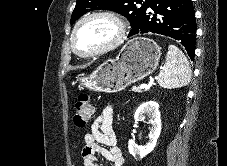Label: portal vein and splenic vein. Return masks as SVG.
Returning a JSON list of instances; mask_svg holds the SVG:
<instances>
[{"instance_id":"1","label":"portal vein and splenic vein","mask_w":227,"mask_h":166,"mask_svg":"<svg viewBox=\"0 0 227 166\" xmlns=\"http://www.w3.org/2000/svg\"><path fill=\"white\" fill-rule=\"evenodd\" d=\"M147 87V84H141L140 86H139V89H144V88H146Z\"/></svg>"}]
</instances>
